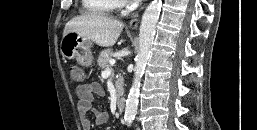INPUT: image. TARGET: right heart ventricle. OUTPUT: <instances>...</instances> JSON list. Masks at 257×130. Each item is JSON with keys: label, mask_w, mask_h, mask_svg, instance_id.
<instances>
[{"label": "right heart ventricle", "mask_w": 257, "mask_h": 130, "mask_svg": "<svg viewBox=\"0 0 257 130\" xmlns=\"http://www.w3.org/2000/svg\"><path fill=\"white\" fill-rule=\"evenodd\" d=\"M120 0H82L85 12L93 15H109L120 6Z\"/></svg>", "instance_id": "e07e8e85"}]
</instances>
